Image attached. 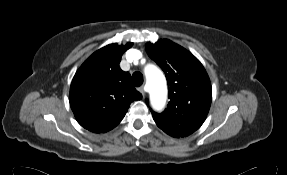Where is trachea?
<instances>
[{"label":"trachea","instance_id":"1","mask_svg":"<svg viewBox=\"0 0 287 175\" xmlns=\"http://www.w3.org/2000/svg\"><path fill=\"white\" fill-rule=\"evenodd\" d=\"M132 83L136 87L141 86L143 84V75L140 72H134L132 75Z\"/></svg>","mask_w":287,"mask_h":175}]
</instances>
